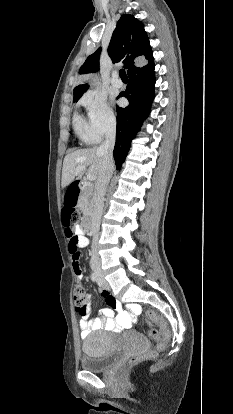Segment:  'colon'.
Segmentation results:
<instances>
[{"label": "colon", "instance_id": "5ec220e1", "mask_svg": "<svg viewBox=\"0 0 233 414\" xmlns=\"http://www.w3.org/2000/svg\"><path fill=\"white\" fill-rule=\"evenodd\" d=\"M79 220V213L74 209L72 212H65L63 214V221L65 224V233L66 236L69 239V252L71 254V256L73 257V252L74 251H79V248L77 246V240H76V233H75V224L78 222ZM80 252V251H79ZM81 268V267H80ZM75 274V272H74ZM79 283L78 285L76 283ZM73 301H74V306L76 309L77 305H82L84 302H88L87 300V296H86V292H85V288L84 285L82 283V278L81 280H74V286H73ZM77 312V311H76ZM77 314L80 316L82 315L81 312H77ZM145 318L147 323L150 326H154V325H159L162 329V334L155 328H151L148 331V336L149 338L154 341L156 343V348L152 351L149 352V356L151 357H155L158 355V353L160 351H162L165 347V341L166 338L169 335L168 329L166 327L165 322L158 316V314L153 311V310H148L145 313ZM139 361V357L138 356H132L131 358H129L127 364L128 366H133L135 365L137 362Z\"/></svg>", "mask_w": 233, "mask_h": 414}]
</instances>
